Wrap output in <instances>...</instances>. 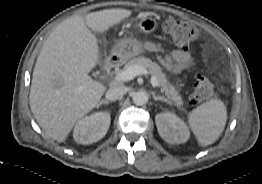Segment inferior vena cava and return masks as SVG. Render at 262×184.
<instances>
[{"label": "inferior vena cava", "mask_w": 262, "mask_h": 184, "mask_svg": "<svg viewBox=\"0 0 262 184\" xmlns=\"http://www.w3.org/2000/svg\"><path fill=\"white\" fill-rule=\"evenodd\" d=\"M126 93L125 87H113L106 92V99L109 101H115L122 97Z\"/></svg>", "instance_id": "602c4592"}]
</instances>
